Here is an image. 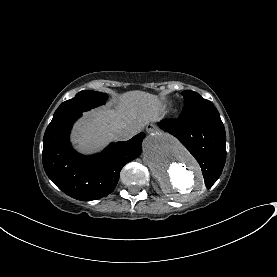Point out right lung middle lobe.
Masks as SVG:
<instances>
[{"label":"right lung middle lobe","instance_id":"obj_1","mask_svg":"<svg viewBox=\"0 0 277 277\" xmlns=\"http://www.w3.org/2000/svg\"><path fill=\"white\" fill-rule=\"evenodd\" d=\"M106 93L95 92L91 90H83L79 92L73 99L63 102L55 111L51 123H55L73 113H82L91 108L102 105L107 100Z\"/></svg>","mask_w":277,"mask_h":277}]
</instances>
